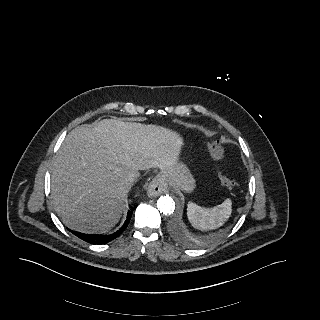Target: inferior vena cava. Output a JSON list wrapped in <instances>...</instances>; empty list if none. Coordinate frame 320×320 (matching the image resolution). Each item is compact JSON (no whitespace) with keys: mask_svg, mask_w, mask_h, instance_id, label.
<instances>
[{"mask_svg":"<svg viewBox=\"0 0 320 320\" xmlns=\"http://www.w3.org/2000/svg\"><path fill=\"white\" fill-rule=\"evenodd\" d=\"M140 173L138 171L129 172L127 175V181L133 182L137 177H139Z\"/></svg>","mask_w":320,"mask_h":320,"instance_id":"inferior-vena-cava-1","label":"inferior vena cava"}]
</instances>
